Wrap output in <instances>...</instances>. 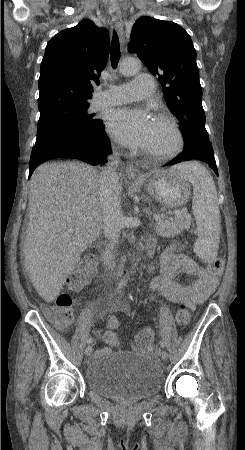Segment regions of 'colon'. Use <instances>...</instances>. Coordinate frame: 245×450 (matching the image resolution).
<instances>
[{"label":"colon","mask_w":245,"mask_h":450,"mask_svg":"<svg viewBox=\"0 0 245 450\" xmlns=\"http://www.w3.org/2000/svg\"><path fill=\"white\" fill-rule=\"evenodd\" d=\"M223 268V261L220 258H215L210 262V270L214 273H220ZM95 271V259L92 255H86L83 260L78 264L74 272L65 282V288L67 291H75L78 288V282L83 278H91ZM72 299L66 294H60L56 302L51 304L47 308V318L53 322L60 329H66L73 323L72 315L69 310ZM176 321L179 325L185 326L189 323L191 315L189 308L185 303H179L176 311ZM117 320L109 317L107 319L108 326L116 325ZM154 333L151 328H144L140 330L136 335V343L140 346H148L152 343ZM104 341L112 346L119 344V338L112 331H106L103 336Z\"/></svg>","instance_id":"5ec220e1"}]
</instances>
